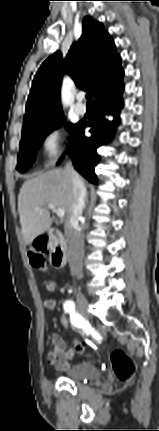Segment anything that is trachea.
I'll return each mask as SVG.
<instances>
[{"label": "trachea", "mask_w": 159, "mask_h": 431, "mask_svg": "<svg viewBox=\"0 0 159 431\" xmlns=\"http://www.w3.org/2000/svg\"><path fill=\"white\" fill-rule=\"evenodd\" d=\"M86 99H87V104H92V94H91V92H88L87 94H86Z\"/></svg>", "instance_id": "obj_1"}]
</instances>
